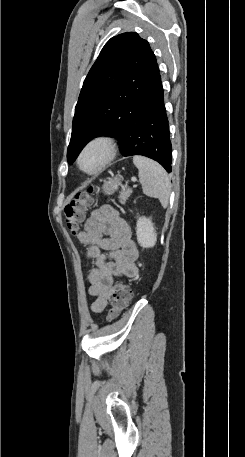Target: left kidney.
Instances as JSON below:
<instances>
[{
    "label": "left kidney",
    "instance_id": "left-kidney-1",
    "mask_svg": "<svg viewBox=\"0 0 245 457\" xmlns=\"http://www.w3.org/2000/svg\"><path fill=\"white\" fill-rule=\"evenodd\" d=\"M136 235L140 247L149 249V247H154V245H156L157 233L150 218H146V216H139L137 220Z\"/></svg>",
    "mask_w": 245,
    "mask_h": 457
}]
</instances>
